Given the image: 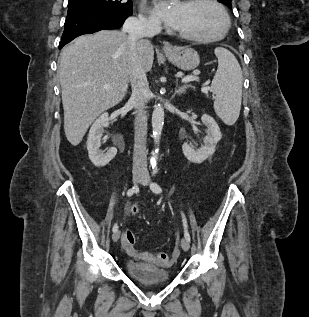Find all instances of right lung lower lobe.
I'll list each match as a JSON object with an SVG mask.
<instances>
[{"mask_svg":"<svg viewBox=\"0 0 309 317\" xmlns=\"http://www.w3.org/2000/svg\"><path fill=\"white\" fill-rule=\"evenodd\" d=\"M128 16L130 15L96 9H68L59 49L80 35L103 29H118Z\"/></svg>","mask_w":309,"mask_h":317,"instance_id":"obj_1","label":"right lung lower lobe"}]
</instances>
